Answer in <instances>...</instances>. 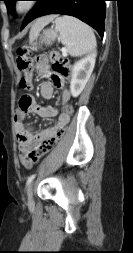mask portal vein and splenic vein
<instances>
[{"label":"portal vein and splenic vein","instance_id":"18ae733b","mask_svg":"<svg viewBox=\"0 0 133 253\" xmlns=\"http://www.w3.org/2000/svg\"><path fill=\"white\" fill-rule=\"evenodd\" d=\"M61 51H62V54H63V55H67V49H66V48H62Z\"/></svg>","mask_w":133,"mask_h":253}]
</instances>
